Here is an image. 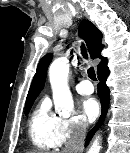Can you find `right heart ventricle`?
Here are the masks:
<instances>
[{"label":"right heart ventricle","mask_w":130,"mask_h":153,"mask_svg":"<svg viewBox=\"0 0 130 153\" xmlns=\"http://www.w3.org/2000/svg\"><path fill=\"white\" fill-rule=\"evenodd\" d=\"M60 122L61 118L51 110L49 98H42L28 121V134L34 147L42 151L57 150Z\"/></svg>","instance_id":"obj_1"}]
</instances>
